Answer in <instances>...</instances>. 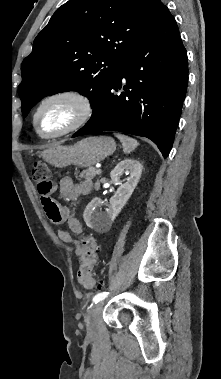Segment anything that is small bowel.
Returning <instances> with one entry per match:
<instances>
[{
  "label": "small bowel",
  "instance_id": "small-bowel-1",
  "mask_svg": "<svg viewBox=\"0 0 221 379\" xmlns=\"http://www.w3.org/2000/svg\"><path fill=\"white\" fill-rule=\"evenodd\" d=\"M92 183L89 180H85L81 183H75L74 180L65 176L59 181V189L61 196L68 201L76 200L80 197L86 196L91 190ZM55 191V186L53 185L51 191L47 195H41V202L43 204L44 210L47 214L48 219H50L54 224L66 223L70 232L74 235H81L84 231L80 221L73 217L66 207L59 205L56 202V198H52L51 194ZM69 231L65 229H59V238L69 244L76 255L80 258L83 254V247L74 239Z\"/></svg>",
  "mask_w": 221,
  "mask_h": 379
}]
</instances>
